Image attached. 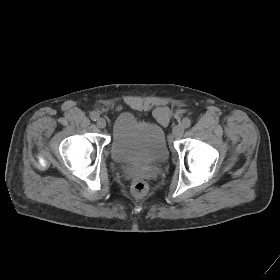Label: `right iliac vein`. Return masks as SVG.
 <instances>
[{
	"label": "right iliac vein",
	"instance_id": "obj_1",
	"mask_svg": "<svg viewBox=\"0 0 280 280\" xmlns=\"http://www.w3.org/2000/svg\"><path fill=\"white\" fill-rule=\"evenodd\" d=\"M97 126L101 129L106 127V120L104 118H99L97 120Z\"/></svg>",
	"mask_w": 280,
	"mask_h": 280
}]
</instances>
